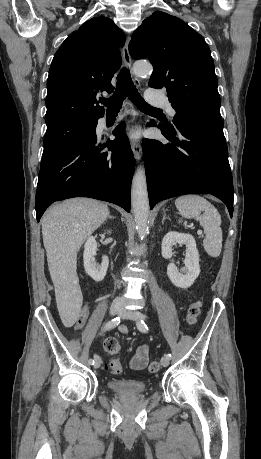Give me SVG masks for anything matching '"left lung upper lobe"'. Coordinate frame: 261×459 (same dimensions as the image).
I'll list each match as a JSON object with an SVG mask.
<instances>
[{
	"label": "left lung upper lobe",
	"mask_w": 261,
	"mask_h": 459,
	"mask_svg": "<svg viewBox=\"0 0 261 459\" xmlns=\"http://www.w3.org/2000/svg\"><path fill=\"white\" fill-rule=\"evenodd\" d=\"M129 51L134 59L149 58L154 69L148 85L166 89L176 126L223 123L210 49L188 24L154 12L133 33Z\"/></svg>",
	"instance_id": "left-lung-upper-lobe-1"
}]
</instances>
